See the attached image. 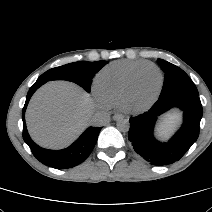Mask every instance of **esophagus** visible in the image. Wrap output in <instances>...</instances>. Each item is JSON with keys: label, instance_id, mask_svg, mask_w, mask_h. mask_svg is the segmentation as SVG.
Returning a JSON list of instances; mask_svg holds the SVG:
<instances>
[{"label": "esophagus", "instance_id": "1", "mask_svg": "<svg viewBox=\"0 0 212 212\" xmlns=\"http://www.w3.org/2000/svg\"><path fill=\"white\" fill-rule=\"evenodd\" d=\"M113 119H114L115 121H119V120L123 119V115H122V114H119V113H115V114L113 115Z\"/></svg>", "mask_w": 212, "mask_h": 212}]
</instances>
